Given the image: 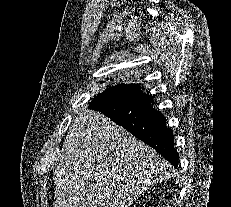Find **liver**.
I'll return each instance as SVG.
<instances>
[{"instance_id": "1", "label": "liver", "mask_w": 231, "mask_h": 207, "mask_svg": "<svg viewBox=\"0 0 231 207\" xmlns=\"http://www.w3.org/2000/svg\"><path fill=\"white\" fill-rule=\"evenodd\" d=\"M54 171L55 207H129L149 186L171 176L170 165L105 115L74 118Z\"/></svg>"}]
</instances>
